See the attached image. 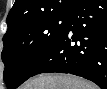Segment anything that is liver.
Masks as SVG:
<instances>
[{"label":"liver","instance_id":"obj_1","mask_svg":"<svg viewBox=\"0 0 107 89\" xmlns=\"http://www.w3.org/2000/svg\"><path fill=\"white\" fill-rule=\"evenodd\" d=\"M90 82L67 74H41L26 82L21 89H96Z\"/></svg>","mask_w":107,"mask_h":89}]
</instances>
